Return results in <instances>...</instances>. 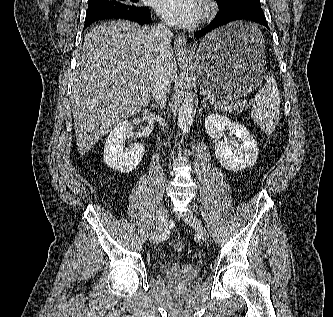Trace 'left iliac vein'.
I'll return each instance as SVG.
<instances>
[{"mask_svg": "<svg viewBox=\"0 0 333 317\" xmlns=\"http://www.w3.org/2000/svg\"><path fill=\"white\" fill-rule=\"evenodd\" d=\"M183 220L189 224L190 226H192L193 228L196 229L197 233L200 235V237L204 240V241H208V232L204 226V224L194 215L188 213L186 215H184Z\"/></svg>", "mask_w": 333, "mask_h": 317, "instance_id": "left-iliac-vein-1", "label": "left iliac vein"}]
</instances>
